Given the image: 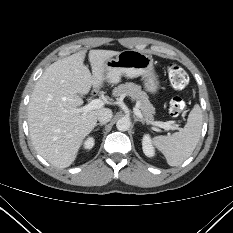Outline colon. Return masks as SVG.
<instances>
[{"instance_id": "colon-1", "label": "colon", "mask_w": 233, "mask_h": 233, "mask_svg": "<svg viewBox=\"0 0 233 233\" xmlns=\"http://www.w3.org/2000/svg\"><path fill=\"white\" fill-rule=\"evenodd\" d=\"M167 75L171 85L176 89H183L189 83L187 72L175 63H169L166 67ZM185 110V102L181 97L175 96L171 99L169 112L172 116L177 117Z\"/></svg>"}]
</instances>
